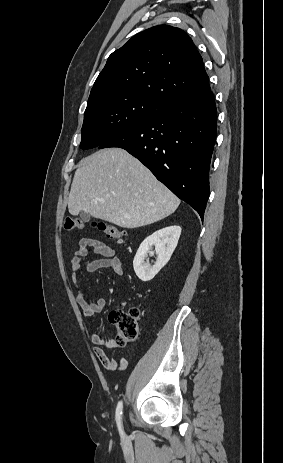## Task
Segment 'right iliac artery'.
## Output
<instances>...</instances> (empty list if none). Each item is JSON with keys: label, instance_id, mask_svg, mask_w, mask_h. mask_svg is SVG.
<instances>
[{"label": "right iliac artery", "instance_id": "obj_1", "mask_svg": "<svg viewBox=\"0 0 283 463\" xmlns=\"http://www.w3.org/2000/svg\"><path fill=\"white\" fill-rule=\"evenodd\" d=\"M122 408H123V403L122 401H120L116 408V422H117L118 429L121 435H123L122 424H121Z\"/></svg>", "mask_w": 283, "mask_h": 463}]
</instances>
